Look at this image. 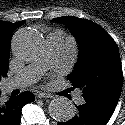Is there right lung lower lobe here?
<instances>
[{"label":"right lung lower lobe","mask_w":125,"mask_h":125,"mask_svg":"<svg viewBox=\"0 0 125 125\" xmlns=\"http://www.w3.org/2000/svg\"><path fill=\"white\" fill-rule=\"evenodd\" d=\"M33 101H35V97L31 92H23L6 101L0 92V125H20L23 106Z\"/></svg>","instance_id":"obj_1"}]
</instances>
